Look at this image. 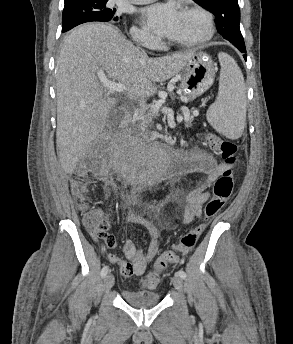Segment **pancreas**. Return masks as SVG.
<instances>
[{
  "label": "pancreas",
  "mask_w": 293,
  "mask_h": 344,
  "mask_svg": "<svg viewBox=\"0 0 293 344\" xmlns=\"http://www.w3.org/2000/svg\"><path fill=\"white\" fill-rule=\"evenodd\" d=\"M153 117H154L153 114L141 115V117L139 119L140 126L147 127V124L152 122ZM185 127H187V128L191 127V121L190 120H185Z\"/></svg>",
  "instance_id": "1"
}]
</instances>
